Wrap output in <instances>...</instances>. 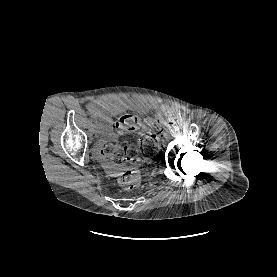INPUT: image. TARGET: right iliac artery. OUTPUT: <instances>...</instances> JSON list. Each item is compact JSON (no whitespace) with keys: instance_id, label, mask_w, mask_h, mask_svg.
<instances>
[{"instance_id":"right-iliac-artery-1","label":"right iliac artery","mask_w":277,"mask_h":277,"mask_svg":"<svg viewBox=\"0 0 277 277\" xmlns=\"http://www.w3.org/2000/svg\"><path fill=\"white\" fill-rule=\"evenodd\" d=\"M92 126H93V129H95V130L99 129V125H98V123L96 121H94Z\"/></svg>"}]
</instances>
